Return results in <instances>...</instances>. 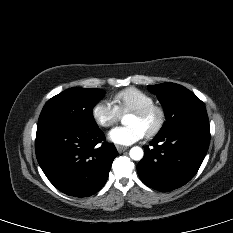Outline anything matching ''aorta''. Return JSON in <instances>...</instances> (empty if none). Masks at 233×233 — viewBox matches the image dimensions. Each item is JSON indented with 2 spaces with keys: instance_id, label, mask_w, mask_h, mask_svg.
<instances>
[{
  "instance_id": "762f6f07",
  "label": "aorta",
  "mask_w": 233,
  "mask_h": 233,
  "mask_svg": "<svg viewBox=\"0 0 233 233\" xmlns=\"http://www.w3.org/2000/svg\"><path fill=\"white\" fill-rule=\"evenodd\" d=\"M129 155H130L131 159H133L135 161H139L143 158L144 152H143L142 148L135 146V147H132L130 149Z\"/></svg>"
}]
</instances>
